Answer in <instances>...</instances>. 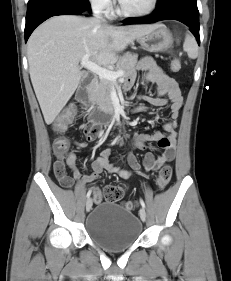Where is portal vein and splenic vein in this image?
<instances>
[{
	"instance_id": "1",
	"label": "portal vein and splenic vein",
	"mask_w": 231,
	"mask_h": 281,
	"mask_svg": "<svg viewBox=\"0 0 231 281\" xmlns=\"http://www.w3.org/2000/svg\"><path fill=\"white\" fill-rule=\"evenodd\" d=\"M90 55L86 54L81 58V66L87 68L88 70L92 71L93 73H96L102 78L116 81L118 78H121L124 75V72L122 70L120 71H111L109 69H106L104 67H101L97 65L96 63L89 60Z\"/></svg>"
}]
</instances>
